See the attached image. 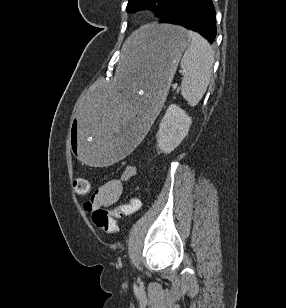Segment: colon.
<instances>
[{
    "instance_id": "obj_1",
    "label": "colon",
    "mask_w": 286,
    "mask_h": 308,
    "mask_svg": "<svg viewBox=\"0 0 286 308\" xmlns=\"http://www.w3.org/2000/svg\"><path fill=\"white\" fill-rule=\"evenodd\" d=\"M73 187L79 194H87L90 190L88 181L81 178L74 180ZM140 205L139 199L131 198L126 204L120 205L112 211L98 208L92 214L93 222L103 232L114 234L118 229L116 218L135 213Z\"/></svg>"
}]
</instances>
